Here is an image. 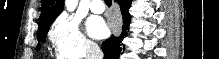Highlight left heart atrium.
Here are the masks:
<instances>
[{
    "label": "left heart atrium",
    "mask_w": 219,
    "mask_h": 59,
    "mask_svg": "<svg viewBox=\"0 0 219 59\" xmlns=\"http://www.w3.org/2000/svg\"><path fill=\"white\" fill-rule=\"evenodd\" d=\"M89 35L96 39L104 38L108 33V28L101 17L91 16L86 22Z\"/></svg>",
    "instance_id": "39dd6f15"
}]
</instances>
